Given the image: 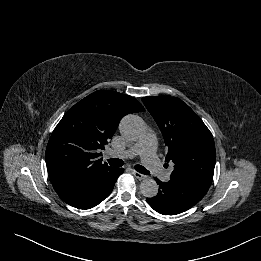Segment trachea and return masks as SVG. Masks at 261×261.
I'll return each instance as SVG.
<instances>
[{
	"label": "trachea",
	"instance_id": "trachea-1",
	"mask_svg": "<svg viewBox=\"0 0 261 261\" xmlns=\"http://www.w3.org/2000/svg\"><path fill=\"white\" fill-rule=\"evenodd\" d=\"M108 163L111 166H115V167H121L124 164V162L121 159H115V158L108 159ZM135 170L141 174L150 175V172L141 165H135Z\"/></svg>",
	"mask_w": 261,
	"mask_h": 261
}]
</instances>
